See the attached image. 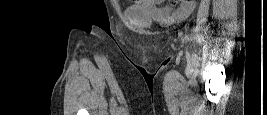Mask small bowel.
<instances>
[{
	"instance_id": "small-bowel-1",
	"label": "small bowel",
	"mask_w": 267,
	"mask_h": 115,
	"mask_svg": "<svg viewBox=\"0 0 267 115\" xmlns=\"http://www.w3.org/2000/svg\"><path fill=\"white\" fill-rule=\"evenodd\" d=\"M135 9L145 10L148 14L159 19H183L186 18L193 10L194 3L182 4L180 7L173 9L164 4L162 0H140L134 5Z\"/></svg>"
}]
</instances>
